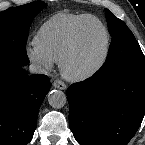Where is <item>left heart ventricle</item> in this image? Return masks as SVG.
I'll return each instance as SVG.
<instances>
[{
  "instance_id": "left-heart-ventricle-1",
  "label": "left heart ventricle",
  "mask_w": 145,
  "mask_h": 145,
  "mask_svg": "<svg viewBox=\"0 0 145 145\" xmlns=\"http://www.w3.org/2000/svg\"><path fill=\"white\" fill-rule=\"evenodd\" d=\"M103 46V29L94 21L88 22L82 30V44L73 61V68L83 69L90 66L100 57Z\"/></svg>"
}]
</instances>
